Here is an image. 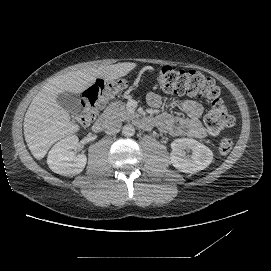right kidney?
Here are the masks:
<instances>
[{"instance_id": "right-kidney-1", "label": "right kidney", "mask_w": 271, "mask_h": 271, "mask_svg": "<svg viewBox=\"0 0 271 271\" xmlns=\"http://www.w3.org/2000/svg\"><path fill=\"white\" fill-rule=\"evenodd\" d=\"M78 141V135L71 134L51 147L47 155V164L52 171L63 176H73L83 170L86 165V156L73 151Z\"/></svg>"}]
</instances>
